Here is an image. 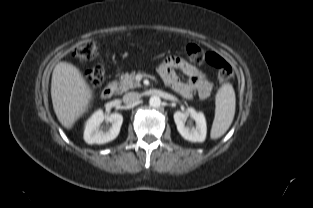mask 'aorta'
Wrapping results in <instances>:
<instances>
[{
	"label": "aorta",
	"mask_w": 313,
	"mask_h": 208,
	"mask_svg": "<svg viewBox=\"0 0 313 208\" xmlns=\"http://www.w3.org/2000/svg\"><path fill=\"white\" fill-rule=\"evenodd\" d=\"M149 105L154 108H158L161 105V99L158 96H152L149 100Z\"/></svg>",
	"instance_id": "762f6f07"
}]
</instances>
